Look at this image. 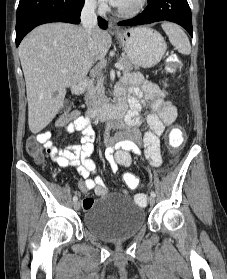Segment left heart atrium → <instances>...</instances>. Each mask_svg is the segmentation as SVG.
<instances>
[{"label":"left heart atrium","mask_w":227,"mask_h":279,"mask_svg":"<svg viewBox=\"0 0 227 279\" xmlns=\"http://www.w3.org/2000/svg\"><path fill=\"white\" fill-rule=\"evenodd\" d=\"M113 6H118L122 0H106Z\"/></svg>","instance_id":"39dd6f15"}]
</instances>
